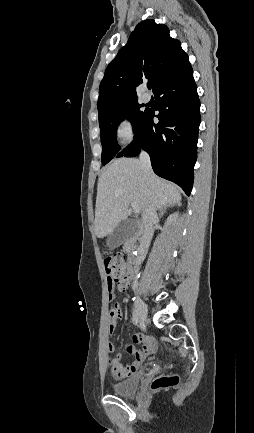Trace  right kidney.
Segmentation results:
<instances>
[{"label":"right kidney","instance_id":"1","mask_svg":"<svg viewBox=\"0 0 254 433\" xmlns=\"http://www.w3.org/2000/svg\"><path fill=\"white\" fill-rule=\"evenodd\" d=\"M178 218V212H175L174 214H171L168 218H167V225H170L171 223L175 222L176 219Z\"/></svg>","mask_w":254,"mask_h":433}]
</instances>
